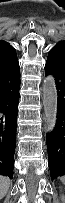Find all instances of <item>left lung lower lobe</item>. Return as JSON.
Wrapping results in <instances>:
<instances>
[{
  "label": "left lung lower lobe",
  "instance_id": "obj_1",
  "mask_svg": "<svg viewBox=\"0 0 65 203\" xmlns=\"http://www.w3.org/2000/svg\"><path fill=\"white\" fill-rule=\"evenodd\" d=\"M45 74H52L58 94L57 122L48 135V166L52 180L65 175V45L57 44L48 54Z\"/></svg>",
  "mask_w": 65,
  "mask_h": 203
}]
</instances>
